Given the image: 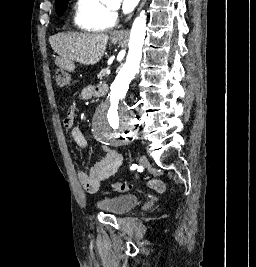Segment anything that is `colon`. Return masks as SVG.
I'll return each instance as SVG.
<instances>
[{
	"label": "colon",
	"instance_id": "5ec220e1",
	"mask_svg": "<svg viewBox=\"0 0 256 267\" xmlns=\"http://www.w3.org/2000/svg\"><path fill=\"white\" fill-rule=\"evenodd\" d=\"M55 81L56 84L61 88L68 87L71 85V75L70 73H64L63 71H56ZM146 185L148 188L157 192H164L166 190L165 184L158 179H152L147 182ZM111 187L116 192H127L131 188L130 184L123 182H114L112 183Z\"/></svg>",
	"mask_w": 256,
	"mask_h": 267
}]
</instances>
